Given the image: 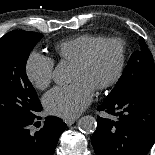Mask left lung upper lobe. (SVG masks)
I'll list each match as a JSON object with an SVG mask.
<instances>
[{
	"label": "left lung upper lobe",
	"mask_w": 155,
	"mask_h": 155,
	"mask_svg": "<svg viewBox=\"0 0 155 155\" xmlns=\"http://www.w3.org/2000/svg\"><path fill=\"white\" fill-rule=\"evenodd\" d=\"M155 81V64L153 56L142 37H139V47L126 66L122 77L107 98L117 96L125 91L148 85Z\"/></svg>",
	"instance_id": "1"
}]
</instances>
